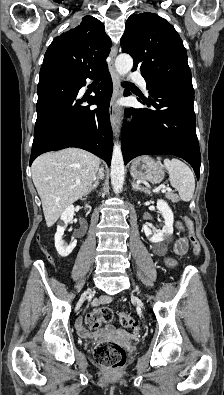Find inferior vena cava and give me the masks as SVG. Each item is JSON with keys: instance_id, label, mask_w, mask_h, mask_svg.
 <instances>
[{"instance_id": "1", "label": "inferior vena cava", "mask_w": 224, "mask_h": 395, "mask_svg": "<svg viewBox=\"0 0 224 395\" xmlns=\"http://www.w3.org/2000/svg\"><path fill=\"white\" fill-rule=\"evenodd\" d=\"M99 176H100V178L103 177V170L102 169L99 170Z\"/></svg>"}]
</instances>
